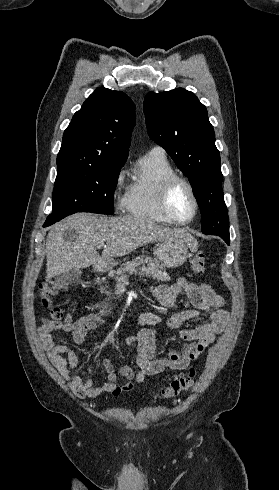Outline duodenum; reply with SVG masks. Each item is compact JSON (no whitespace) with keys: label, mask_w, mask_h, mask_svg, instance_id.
Returning <instances> with one entry per match:
<instances>
[{"label":"duodenum","mask_w":279,"mask_h":490,"mask_svg":"<svg viewBox=\"0 0 279 490\" xmlns=\"http://www.w3.org/2000/svg\"><path fill=\"white\" fill-rule=\"evenodd\" d=\"M99 267H101V265H99ZM112 306H113V303L111 301H107L103 306L102 312L105 314L109 313L112 309Z\"/></svg>","instance_id":"duodenum-1"}]
</instances>
